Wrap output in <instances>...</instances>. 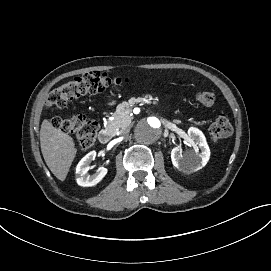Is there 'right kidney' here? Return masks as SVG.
<instances>
[{
    "mask_svg": "<svg viewBox=\"0 0 271 271\" xmlns=\"http://www.w3.org/2000/svg\"><path fill=\"white\" fill-rule=\"evenodd\" d=\"M97 156L96 151H91L85 155L77 164L75 173L77 175L76 182L80 186L88 187L94 186L100 182L107 174L105 167H99L95 173L88 174L87 171L90 169L91 162Z\"/></svg>",
    "mask_w": 271,
    "mask_h": 271,
    "instance_id": "right-kidney-1",
    "label": "right kidney"
}]
</instances>
